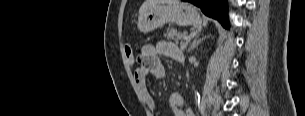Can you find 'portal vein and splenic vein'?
<instances>
[{
  "label": "portal vein and splenic vein",
  "mask_w": 305,
  "mask_h": 116,
  "mask_svg": "<svg viewBox=\"0 0 305 116\" xmlns=\"http://www.w3.org/2000/svg\"><path fill=\"white\" fill-rule=\"evenodd\" d=\"M183 39H184V40H186V41L188 42V41H189V39H190V37L185 36Z\"/></svg>",
  "instance_id": "portal-vein-and-splenic-vein-1"
}]
</instances>
